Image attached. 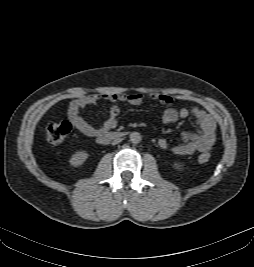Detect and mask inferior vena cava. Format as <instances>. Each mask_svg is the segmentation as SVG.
Listing matches in <instances>:
<instances>
[{"mask_svg":"<svg viewBox=\"0 0 254 267\" xmlns=\"http://www.w3.org/2000/svg\"><path fill=\"white\" fill-rule=\"evenodd\" d=\"M119 142H121V139H115L113 140L112 144L115 145V144H118Z\"/></svg>","mask_w":254,"mask_h":267,"instance_id":"602c4592","label":"inferior vena cava"}]
</instances>
